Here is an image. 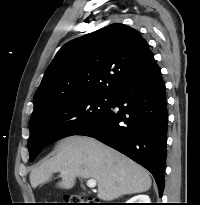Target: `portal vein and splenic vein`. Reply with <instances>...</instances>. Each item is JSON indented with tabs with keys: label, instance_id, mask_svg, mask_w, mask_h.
<instances>
[{
	"label": "portal vein and splenic vein",
	"instance_id": "1",
	"mask_svg": "<svg viewBox=\"0 0 200 205\" xmlns=\"http://www.w3.org/2000/svg\"><path fill=\"white\" fill-rule=\"evenodd\" d=\"M86 185H87L89 188H95V186H96V180H95V179H89V180L86 182Z\"/></svg>",
	"mask_w": 200,
	"mask_h": 205
}]
</instances>
